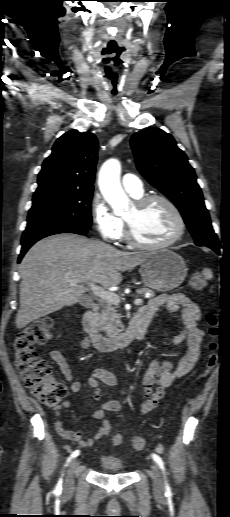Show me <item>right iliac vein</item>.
<instances>
[{
	"instance_id": "63e3f726",
	"label": "right iliac vein",
	"mask_w": 230,
	"mask_h": 517,
	"mask_svg": "<svg viewBox=\"0 0 230 517\" xmlns=\"http://www.w3.org/2000/svg\"><path fill=\"white\" fill-rule=\"evenodd\" d=\"M78 466H79V460L74 459L72 463L69 466V469L67 471L64 488V493H69L73 490L74 487V475L78 473Z\"/></svg>"
}]
</instances>
